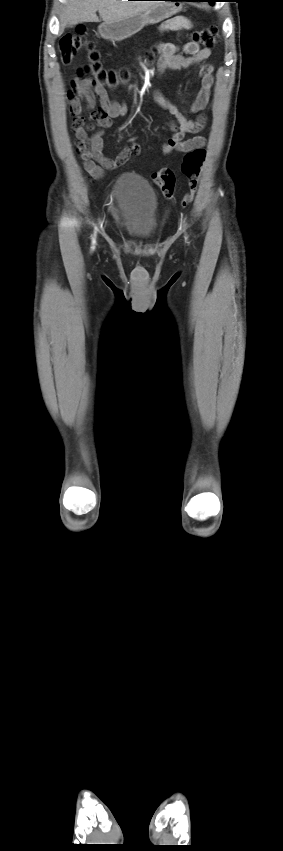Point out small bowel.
Segmentation results:
<instances>
[{"instance_id":"small-bowel-1","label":"small bowel","mask_w":283,"mask_h":851,"mask_svg":"<svg viewBox=\"0 0 283 851\" xmlns=\"http://www.w3.org/2000/svg\"><path fill=\"white\" fill-rule=\"evenodd\" d=\"M191 22L185 18H174L165 21L161 31L188 29ZM161 58L159 61V72L166 69L180 70L197 65L211 55L208 48L201 49L195 42H187L182 47L172 43H161L157 47ZM185 54V55H183ZM213 67L204 65L200 69L201 88L196 98L189 107V112L198 114L195 120L189 119L176 106L168 102L159 93H154V100L172 116L171 136L163 142V154L168 155L172 151L189 152L193 149L203 147L205 138L196 135L184 139L188 133L197 134L205 126L206 117L203 111L206 109L210 92L213 85ZM84 69L79 70V76L71 81L67 91L70 114L73 116L72 129L77 139L76 147L84 170L93 178L100 179L106 170H114L124 165L140 153V145L135 142V137L129 139V145L124 147L115 158H108L103 154V129L109 128L112 119L122 117L127 113V106L110 100L104 86L94 79L83 77ZM99 99L100 110L93 111L96 99ZM93 111V112H92ZM90 112V119L94 120L100 127L93 135L87 134L84 113Z\"/></svg>"}]
</instances>
